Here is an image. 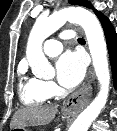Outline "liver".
Listing matches in <instances>:
<instances>
[{
	"instance_id": "obj_1",
	"label": "liver",
	"mask_w": 117,
	"mask_h": 131,
	"mask_svg": "<svg viewBox=\"0 0 117 131\" xmlns=\"http://www.w3.org/2000/svg\"><path fill=\"white\" fill-rule=\"evenodd\" d=\"M57 113V106H30L18 110L10 123V128L49 124Z\"/></svg>"
}]
</instances>
